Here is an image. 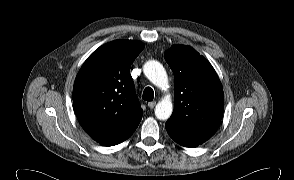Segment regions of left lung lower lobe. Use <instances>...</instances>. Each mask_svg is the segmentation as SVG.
<instances>
[{"mask_svg": "<svg viewBox=\"0 0 294 180\" xmlns=\"http://www.w3.org/2000/svg\"><path fill=\"white\" fill-rule=\"evenodd\" d=\"M165 128L169 136L178 144L185 147H196L201 145L209 138H211L215 132H190L179 129L174 125L167 123Z\"/></svg>", "mask_w": 294, "mask_h": 180, "instance_id": "left-lung-lower-lobe-1", "label": "left lung lower lobe"}]
</instances>
